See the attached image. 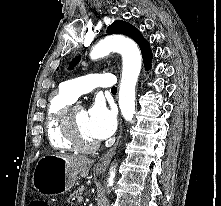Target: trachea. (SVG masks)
Returning <instances> with one entry per match:
<instances>
[{
    "label": "trachea",
    "instance_id": "trachea-1",
    "mask_svg": "<svg viewBox=\"0 0 221 206\" xmlns=\"http://www.w3.org/2000/svg\"><path fill=\"white\" fill-rule=\"evenodd\" d=\"M111 91L112 92H116L117 91V87H112Z\"/></svg>",
    "mask_w": 221,
    "mask_h": 206
}]
</instances>
